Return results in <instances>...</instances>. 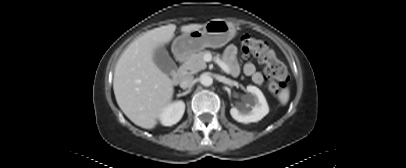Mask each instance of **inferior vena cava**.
I'll list each match as a JSON object with an SVG mask.
<instances>
[{
    "label": "inferior vena cava",
    "instance_id": "inferior-vena-cava-1",
    "mask_svg": "<svg viewBox=\"0 0 406 168\" xmlns=\"http://www.w3.org/2000/svg\"><path fill=\"white\" fill-rule=\"evenodd\" d=\"M192 82H193V76L192 75H186L181 79L180 87L182 89H186V88L191 86Z\"/></svg>",
    "mask_w": 406,
    "mask_h": 168
}]
</instances>
